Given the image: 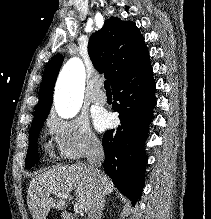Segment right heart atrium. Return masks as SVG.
Returning <instances> with one entry per match:
<instances>
[{
    "label": "right heart atrium",
    "instance_id": "1",
    "mask_svg": "<svg viewBox=\"0 0 211 219\" xmlns=\"http://www.w3.org/2000/svg\"><path fill=\"white\" fill-rule=\"evenodd\" d=\"M46 129L63 159L77 160L101 148L100 140L85 118H62L51 113L46 120Z\"/></svg>",
    "mask_w": 211,
    "mask_h": 219
}]
</instances>
